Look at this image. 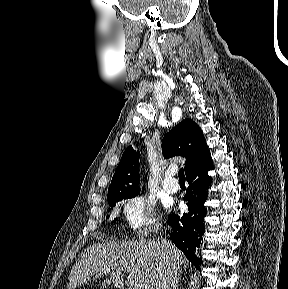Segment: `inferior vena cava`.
<instances>
[{
	"mask_svg": "<svg viewBox=\"0 0 288 289\" xmlns=\"http://www.w3.org/2000/svg\"><path fill=\"white\" fill-rule=\"evenodd\" d=\"M160 244L164 258V270L159 289H176L179 279V264L174 257L171 243L165 239H161Z\"/></svg>",
	"mask_w": 288,
	"mask_h": 289,
	"instance_id": "602c4592",
	"label": "inferior vena cava"
}]
</instances>
